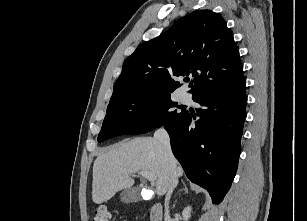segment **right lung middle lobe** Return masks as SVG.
<instances>
[{
	"label": "right lung middle lobe",
	"mask_w": 307,
	"mask_h": 221,
	"mask_svg": "<svg viewBox=\"0 0 307 221\" xmlns=\"http://www.w3.org/2000/svg\"><path fill=\"white\" fill-rule=\"evenodd\" d=\"M176 106L170 94L165 93L135 94L111 103L107 107L98 142L122 134H143L155 127L166 126L185 113L184 110H173Z\"/></svg>",
	"instance_id": "obj_1"
}]
</instances>
